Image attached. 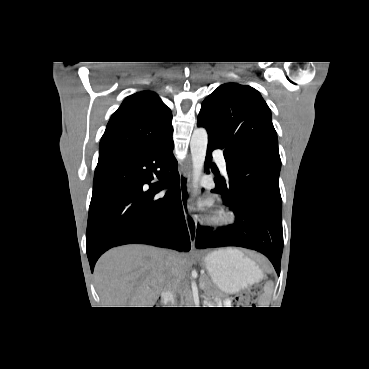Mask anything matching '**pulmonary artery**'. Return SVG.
Returning <instances> with one entry per match:
<instances>
[{
  "label": "pulmonary artery",
  "instance_id": "1",
  "mask_svg": "<svg viewBox=\"0 0 369 369\" xmlns=\"http://www.w3.org/2000/svg\"><path fill=\"white\" fill-rule=\"evenodd\" d=\"M214 157H215V160L218 163L220 169L223 172H226V161H225V158H224L222 152L218 151V150L214 151Z\"/></svg>",
  "mask_w": 369,
  "mask_h": 369
}]
</instances>
